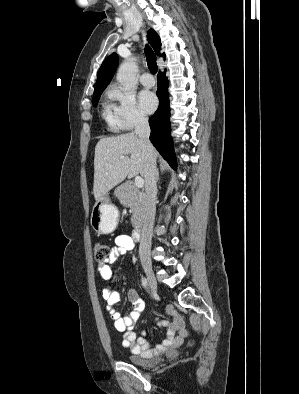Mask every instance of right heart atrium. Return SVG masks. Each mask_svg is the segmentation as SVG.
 I'll return each instance as SVG.
<instances>
[{
    "mask_svg": "<svg viewBox=\"0 0 299 394\" xmlns=\"http://www.w3.org/2000/svg\"><path fill=\"white\" fill-rule=\"evenodd\" d=\"M108 96L112 101L111 108L119 129L131 130L147 121L146 115L139 109L132 93L113 85L108 91Z\"/></svg>",
    "mask_w": 299,
    "mask_h": 394,
    "instance_id": "d8ad5b80",
    "label": "right heart atrium"
}]
</instances>
